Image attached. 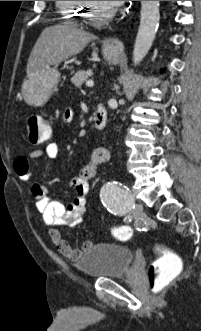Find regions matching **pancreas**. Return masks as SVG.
Instances as JSON below:
<instances>
[{"mask_svg": "<svg viewBox=\"0 0 201 331\" xmlns=\"http://www.w3.org/2000/svg\"><path fill=\"white\" fill-rule=\"evenodd\" d=\"M90 71H78L72 78L71 82L77 87L81 88L84 82L87 81Z\"/></svg>", "mask_w": 201, "mask_h": 331, "instance_id": "cf45deb5", "label": "pancreas"}]
</instances>
